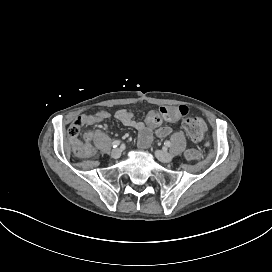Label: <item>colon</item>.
Segmentation results:
<instances>
[{"label": "colon", "instance_id": "colon-1", "mask_svg": "<svg viewBox=\"0 0 272 272\" xmlns=\"http://www.w3.org/2000/svg\"><path fill=\"white\" fill-rule=\"evenodd\" d=\"M178 111L181 116H186L188 113V107L185 105H181L178 107ZM81 125L80 121L74 122L73 126L69 129V136L75 137L79 134V127ZM183 127L189 137L194 141V142H199L203 135H204V130H205V124L204 120L199 117H186L183 120Z\"/></svg>", "mask_w": 272, "mask_h": 272}]
</instances>
